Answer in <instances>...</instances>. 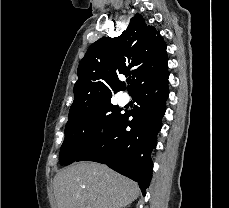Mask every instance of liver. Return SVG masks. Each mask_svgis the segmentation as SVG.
<instances>
[{
    "label": "liver",
    "instance_id": "liver-1",
    "mask_svg": "<svg viewBox=\"0 0 229 208\" xmlns=\"http://www.w3.org/2000/svg\"><path fill=\"white\" fill-rule=\"evenodd\" d=\"M58 208H126L137 200L136 182L96 162H80L54 178Z\"/></svg>",
    "mask_w": 229,
    "mask_h": 208
}]
</instances>
